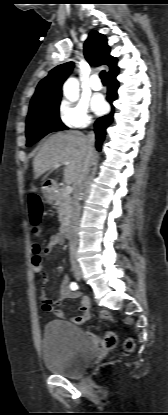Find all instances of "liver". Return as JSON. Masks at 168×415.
<instances>
[{
    "label": "liver",
    "mask_w": 168,
    "mask_h": 415,
    "mask_svg": "<svg viewBox=\"0 0 168 415\" xmlns=\"http://www.w3.org/2000/svg\"><path fill=\"white\" fill-rule=\"evenodd\" d=\"M88 156V139L79 131L59 132L50 136L34 158L35 177H40L55 163L68 162L64 170V182L75 188ZM96 158L94 152L91 160Z\"/></svg>",
    "instance_id": "1"
}]
</instances>
